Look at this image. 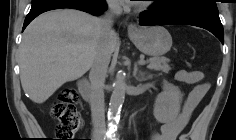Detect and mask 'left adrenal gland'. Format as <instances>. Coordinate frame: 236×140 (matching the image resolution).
I'll use <instances>...</instances> for the list:
<instances>
[{
  "label": "left adrenal gland",
  "instance_id": "left-adrenal-gland-1",
  "mask_svg": "<svg viewBox=\"0 0 236 140\" xmlns=\"http://www.w3.org/2000/svg\"><path fill=\"white\" fill-rule=\"evenodd\" d=\"M133 76L138 80V81H143L149 78L146 76L145 72L138 71V65L137 63L134 64V71H133Z\"/></svg>",
  "mask_w": 236,
  "mask_h": 140
}]
</instances>
